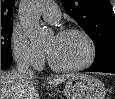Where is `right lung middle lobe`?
Wrapping results in <instances>:
<instances>
[{"label":"right lung middle lobe","mask_w":115,"mask_h":99,"mask_svg":"<svg viewBox=\"0 0 115 99\" xmlns=\"http://www.w3.org/2000/svg\"><path fill=\"white\" fill-rule=\"evenodd\" d=\"M13 25H1V60H12L11 36Z\"/></svg>","instance_id":"dd1d6c3e"}]
</instances>
